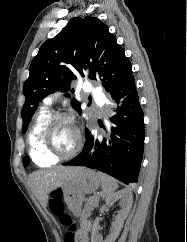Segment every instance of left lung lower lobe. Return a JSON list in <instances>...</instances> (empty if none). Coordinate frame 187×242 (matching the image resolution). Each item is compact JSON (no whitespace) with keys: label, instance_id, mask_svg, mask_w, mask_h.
<instances>
[{"label":"left lung lower lobe","instance_id":"left-lung-lower-lobe-1","mask_svg":"<svg viewBox=\"0 0 187 242\" xmlns=\"http://www.w3.org/2000/svg\"><path fill=\"white\" fill-rule=\"evenodd\" d=\"M118 104L110 118L112 124L103 138L90 131L82 152L63 165L96 169L125 184L138 181L144 151V114L133 75L118 84L111 92Z\"/></svg>","mask_w":187,"mask_h":242}]
</instances>
